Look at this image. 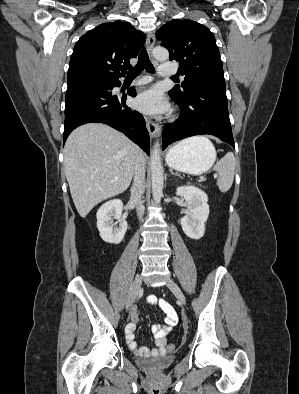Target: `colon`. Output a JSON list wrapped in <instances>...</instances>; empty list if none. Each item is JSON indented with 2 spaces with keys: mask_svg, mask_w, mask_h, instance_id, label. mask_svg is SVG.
Segmentation results:
<instances>
[{
  "mask_svg": "<svg viewBox=\"0 0 299 394\" xmlns=\"http://www.w3.org/2000/svg\"><path fill=\"white\" fill-rule=\"evenodd\" d=\"M170 350H172L173 348H174V346L173 345H169V347H168Z\"/></svg>",
  "mask_w": 299,
  "mask_h": 394,
  "instance_id": "5ec220e1",
  "label": "colon"
}]
</instances>
